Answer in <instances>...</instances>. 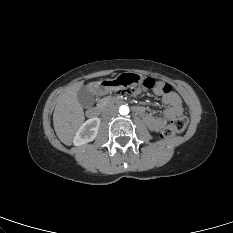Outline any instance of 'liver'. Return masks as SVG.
Returning a JSON list of instances; mask_svg holds the SVG:
<instances>
[{
	"mask_svg": "<svg viewBox=\"0 0 233 233\" xmlns=\"http://www.w3.org/2000/svg\"><path fill=\"white\" fill-rule=\"evenodd\" d=\"M95 83H90L88 88L96 93ZM82 87V82L67 87L58 96L53 114V125L56 135L62 143L70 145L78 128L85 120L84 111L77 99V92Z\"/></svg>",
	"mask_w": 233,
	"mask_h": 233,
	"instance_id": "6515ba94",
	"label": "liver"
}]
</instances>
